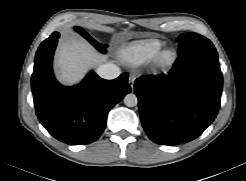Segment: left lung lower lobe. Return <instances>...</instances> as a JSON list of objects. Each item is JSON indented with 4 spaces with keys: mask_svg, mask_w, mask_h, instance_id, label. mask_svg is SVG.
Here are the masks:
<instances>
[{
    "mask_svg": "<svg viewBox=\"0 0 246 181\" xmlns=\"http://www.w3.org/2000/svg\"><path fill=\"white\" fill-rule=\"evenodd\" d=\"M222 85L212 43L179 53L168 75L136 79L134 91L148 137L162 145L197 138L218 113Z\"/></svg>",
    "mask_w": 246,
    "mask_h": 181,
    "instance_id": "left-lung-lower-lobe-1",
    "label": "left lung lower lobe"
}]
</instances>
